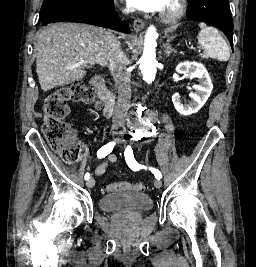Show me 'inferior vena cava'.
<instances>
[{
  "instance_id": "602c4592",
  "label": "inferior vena cava",
  "mask_w": 256,
  "mask_h": 267,
  "mask_svg": "<svg viewBox=\"0 0 256 267\" xmlns=\"http://www.w3.org/2000/svg\"><path fill=\"white\" fill-rule=\"evenodd\" d=\"M130 12V8H125V10H123V14H130ZM107 60L108 68L112 72L113 80L118 90V100L112 118L113 128H123V126H125L127 112L130 108L131 80L123 60L121 46L114 36L113 38L109 36Z\"/></svg>"
}]
</instances>
